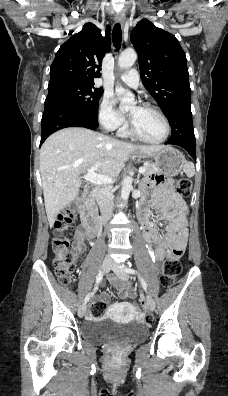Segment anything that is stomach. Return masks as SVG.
Instances as JSON below:
<instances>
[{"instance_id":"1","label":"stomach","mask_w":228,"mask_h":396,"mask_svg":"<svg viewBox=\"0 0 228 396\" xmlns=\"http://www.w3.org/2000/svg\"><path fill=\"white\" fill-rule=\"evenodd\" d=\"M136 154L139 157L153 159L159 172L167 176H176L179 174L186 163L183 154L179 150L169 146L152 153L136 151Z\"/></svg>"}]
</instances>
